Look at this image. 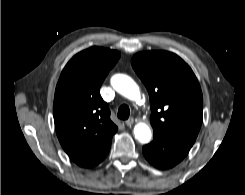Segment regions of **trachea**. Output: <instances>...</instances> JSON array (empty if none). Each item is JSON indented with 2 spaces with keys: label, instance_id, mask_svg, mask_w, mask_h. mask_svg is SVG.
<instances>
[{
  "label": "trachea",
  "instance_id": "3493384b",
  "mask_svg": "<svg viewBox=\"0 0 245 195\" xmlns=\"http://www.w3.org/2000/svg\"><path fill=\"white\" fill-rule=\"evenodd\" d=\"M130 115V109L127 105L123 104L119 107L118 110V118L122 119V120H126L129 118Z\"/></svg>",
  "mask_w": 245,
  "mask_h": 195
}]
</instances>
